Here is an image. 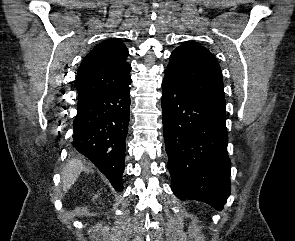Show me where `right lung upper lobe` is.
<instances>
[{"label": "right lung upper lobe", "mask_w": 295, "mask_h": 241, "mask_svg": "<svg viewBox=\"0 0 295 241\" xmlns=\"http://www.w3.org/2000/svg\"><path fill=\"white\" fill-rule=\"evenodd\" d=\"M129 55L119 40L109 39L94 47L83 59L76 80L79 98L112 90L131 81Z\"/></svg>", "instance_id": "1"}]
</instances>
